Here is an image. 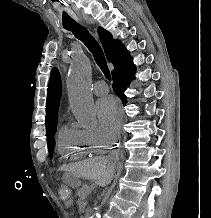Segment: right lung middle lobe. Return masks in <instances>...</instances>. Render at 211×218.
Instances as JSON below:
<instances>
[{"mask_svg":"<svg viewBox=\"0 0 211 218\" xmlns=\"http://www.w3.org/2000/svg\"><path fill=\"white\" fill-rule=\"evenodd\" d=\"M121 100H122L123 105H126L127 99L122 98ZM55 132H56V126L54 130L47 136L48 137L47 144H48V150H49L50 157H52V153H53L54 146H55V140L53 139Z\"/></svg>","mask_w":211,"mask_h":218,"instance_id":"1","label":"right lung middle lobe"}]
</instances>
